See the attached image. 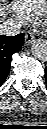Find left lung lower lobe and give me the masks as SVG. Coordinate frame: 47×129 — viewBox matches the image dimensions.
Segmentation results:
<instances>
[{"mask_svg":"<svg viewBox=\"0 0 47 129\" xmlns=\"http://www.w3.org/2000/svg\"><path fill=\"white\" fill-rule=\"evenodd\" d=\"M45 77H46V82H47V68L45 69Z\"/></svg>","mask_w":47,"mask_h":129,"instance_id":"1","label":"left lung lower lobe"}]
</instances>
